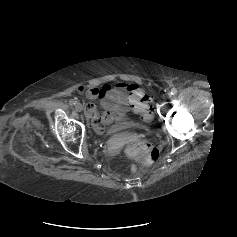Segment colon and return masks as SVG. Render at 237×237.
I'll return each mask as SVG.
<instances>
[{
  "instance_id": "colon-1",
  "label": "colon",
  "mask_w": 237,
  "mask_h": 237,
  "mask_svg": "<svg viewBox=\"0 0 237 237\" xmlns=\"http://www.w3.org/2000/svg\"><path fill=\"white\" fill-rule=\"evenodd\" d=\"M146 119H150V113ZM126 154L129 158L142 164H152L158 159L159 152L149 142L142 139H131L126 146Z\"/></svg>"
}]
</instances>
